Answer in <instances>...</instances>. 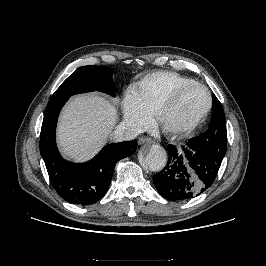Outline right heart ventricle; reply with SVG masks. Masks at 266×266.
<instances>
[{
    "mask_svg": "<svg viewBox=\"0 0 266 266\" xmlns=\"http://www.w3.org/2000/svg\"><path fill=\"white\" fill-rule=\"evenodd\" d=\"M194 82L193 79L169 71H157L144 76L132 88V94L138 105L149 115L167 94L174 88Z\"/></svg>",
    "mask_w": 266,
    "mask_h": 266,
    "instance_id": "obj_1",
    "label": "right heart ventricle"
}]
</instances>
